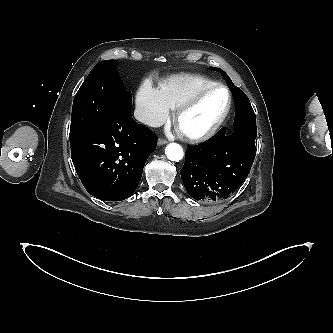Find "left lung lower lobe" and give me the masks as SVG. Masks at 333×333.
<instances>
[{
	"label": "left lung lower lobe",
	"instance_id": "left-lung-lower-lobe-1",
	"mask_svg": "<svg viewBox=\"0 0 333 333\" xmlns=\"http://www.w3.org/2000/svg\"><path fill=\"white\" fill-rule=\"evenodd\" d=\"M255 154L254 140L247 131L234 127V133L227 136L222 128L207 141L188 148L181 169L186 191L205 203L225 200L248 176Z\"/></svg>",
	"mask_w": 333,
	"mask_h": 333
}]
</instances>
